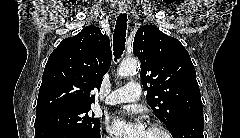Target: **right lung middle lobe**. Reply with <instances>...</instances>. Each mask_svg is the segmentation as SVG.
Segmentation results:
<instances>
[{
	"instance_id": "right-lung-middle-lobe-1",
	"label": "right lung middle lobe",
	"mask_w": 240,
	"mask_h": 138,
	"mask_svg": "<svg viewBox=\"0 0 240 138\" xmlns=\"http://www.w3.org/2000/svg\"><path fill=\"white\" fill-rule=\"evenodd\" d=\"M91 107L63 108L36 115L35 129L61 126L87 137L100 135V121L88 113Z\"/></svg>"
}]
</instances>
